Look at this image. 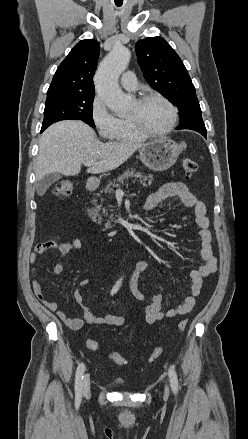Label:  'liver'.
Returning <instances> with one entry per match:
<instances>
[{
    "label": "liver",
    "instance_id": "liver-1",
    "mask_svg": "<svg viewBox=\"0 0 248 439\" xmlns=\"http://www.w3.org/2000/svg\"><path fill=\"white\" fill-rule=\"evenodd\" d=\"M144 144L107 142L96 139L94 130L78 120H65L48 127L41 135L36 158V182L50 173L66 176L80 173L81 164L95 161L87 173L116 169Z\"/></svg>",
    "mask_w": 248,
    "mask_h": 439
}]
</instances>
